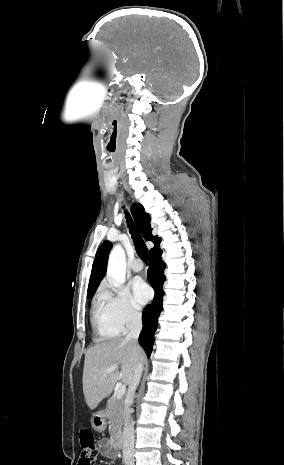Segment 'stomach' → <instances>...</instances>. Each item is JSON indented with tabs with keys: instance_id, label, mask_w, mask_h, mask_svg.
<instances>
[{
	"instance_id": "0dacf381",
	"label": "stomach",
	"mask_w": 284,
	"mask_h": 465,
	"mask_svg": "<svg viewBox=\"0 0 284 465\" xmlns=\"http://www.w3.org/2000/svg\"><path fill=\"white\" fill-rule=\"evenodd\" d=\"M91 425L94 431H98V433H103V431H105L107 421L104 411H97V413H93L91 417Z\"/></svg>"
}]
</instances>
